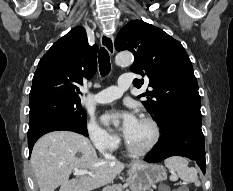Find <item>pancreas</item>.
Wrapping results in <instances>:
<instances>
[{"label": "pancreas", "instance_id": "pancreas-1", "mask_svg": "<svg viewBox=\"0 0 233 191\" xmlns=\"http://www.w3.org/2000/svg\"><path fill=\"white\" fill-rule=\"evenodd\" d=\"M123 186L121 184L113 185V186H107L102 191H123ZM129 191V190H126Z\"/></svg>", "mask_w": 233, "mask_h": 191}]
</instances>
